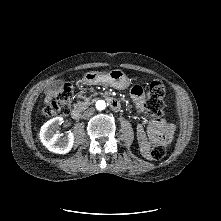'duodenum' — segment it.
Returning a JSON list of instances; mask_svg holds the SVG:
<instances>
[{
    "instance_id": "duodenum-1",
    "label": "duodenum",
    "mask_w": 221,
    "mask_h": 221,
    "mask_svg": "<svg viewBox=\"0 0 221 221\" xmlns=\"http://www.w3.org/2000/svg\"><path fill=\"white\" fill-rule=\"evenodd\" d=\"M102 96L109 103L110 107L113 110L118 111L121 109L120 100H118L117 98L113 97L112 95H110L108 93H104ZM80 116H81V110L78 107L74 108L71 112V117L73 119H78V118H80Z\"/></svg>"
}]
</instances>
